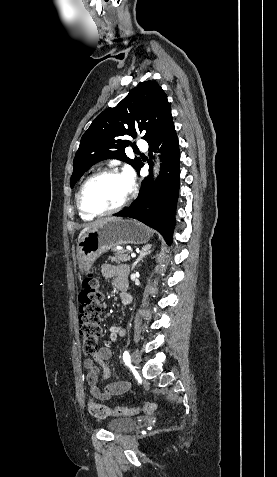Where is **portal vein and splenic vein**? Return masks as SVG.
<instances>
[{
    "mask_svg": "<svg viewBox=\"0 0 277 477\" xmlns=\"http://www.w3.org/2000/svg\"><path fill=\"white\" fill-rule=\"evenodd\" d=\"M131 257H136V253L131 252Z\"/></svg>",
    "mask_w": 277,
    "mask_h": 477,
    "instance_id": "obj_1",
    "label": "portal vein and splenic vein"
}]
</instances>
